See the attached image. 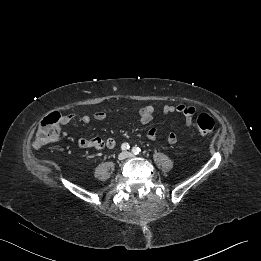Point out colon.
Masks as SVG:
<instances>
[{"label": "colon", "instance_id": "1", "mask_svg": "<svg viewBox=\"0 0 261 261\" xmlns=\"http://www.w3.org/2000/svg\"><path fill=\"white\" fill-rule=\"evenodd\" d=\"M68 116L62 112H52L45 116L38 127L34 144L36 147H43L59 136V126L67 122ZM196 125L200 134H208L212 132L215 126L214 119L206 114H200L196 119Z\"/></svg>", "mask_w": 261, "mask_h": 261}]
</instances>
